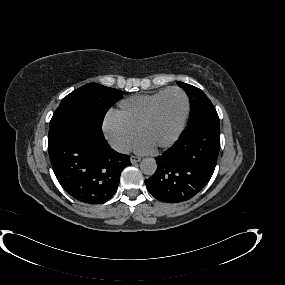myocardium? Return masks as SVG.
<instances>
[{
  "label": "myocardium",
  "mask_w": 285,
  "mask_h": 285,
  "mask_svg": "<svg viewBox=\"0 0 285 285\" xmlns=\"http://www.w3.org/2000/svg\"><path fill=\"white\" fill-rule=\"evenodd\" d=\"M171 92H179V93H181L183 95V97L185 99V103H186L185 113H184L182 121H181V123L179 125V128H178L176 134L174 135V137L170 141H168L167 143H164V144L158 146L156 148L157 150H163V149H167V148H170L171 146H173L179 140V138L181 137V135L183 133V130H184L185 126H186V123H187V120H188V117H189V113H190V99H189L187 93L183 89L178 88V87H171V88L166 89L161 94V96L155 101V103L152 105L148 115L143 120V122L140 124V126L138 128V131H137L138 136L141 137V134L144 131V129L150 124V122L155 117V114H156V112H157L161 102L163 101L165 96L168 95Z\"/></svg>",
  "instance_id": "f54148a6"
}]
</instances>
